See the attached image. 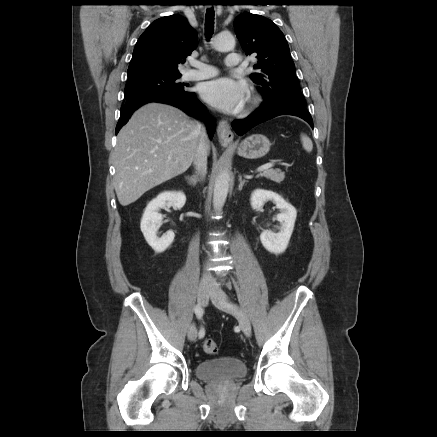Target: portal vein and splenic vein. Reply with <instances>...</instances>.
Wrapping results in <instances>:
<instances>
[{"label":"portal vein and splenic vein","instance_id":"18ae733b","mask_svg":"<svg viewBox=\"0 0 437 437\" xmlns=\"http://www.w3.org/2000/svg\"><path fill=\"white\" fill-rule=\"evenodd\" d=\"M273 166H274V163H273V162L266 163V164L260 166V167L257 169V172H262V171L267 170V169H269V168H271V167H273Z\"/></svg>","mask_w":437,"mask_h":437}]
</instances>
